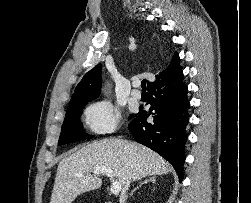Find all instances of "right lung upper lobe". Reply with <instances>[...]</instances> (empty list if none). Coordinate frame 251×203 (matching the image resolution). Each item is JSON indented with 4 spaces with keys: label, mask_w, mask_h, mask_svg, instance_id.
<instances>
[{
    "label": "right lung upper lobe",
    "mask_w": 251,
    "mask_h": 203,
    "mask_svg": "<svg viewBox=\"0 0 251 203\" xmlns=\"http://www.w3.org/2000/svg\"><path fill=\"white\" fill-rule=\"evenodd\" d=\"M179 63V55L175 53L170 64L155 76L156 80L154 82H148L147 89L163 79L173 68L178 66ZM101 72L102 66L101 64H98L84 75L72 95L70 104L91 101L99 96L101 88Z\"/></svg>",
    "instance_id": "right-lung-upper-lobe-1"
}]
</instances>
